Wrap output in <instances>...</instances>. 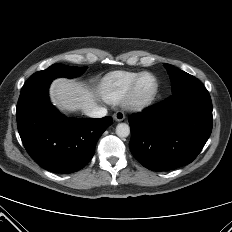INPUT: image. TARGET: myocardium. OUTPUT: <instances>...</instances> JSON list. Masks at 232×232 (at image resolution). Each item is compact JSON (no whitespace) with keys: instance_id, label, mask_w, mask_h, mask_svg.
I'll list each match as a JSON object with an SVG mask.
<instances>
[{"instance_id":"1","label":"myocardium","mask_w":232,"mask_h":232,"mask_svg":"<svg viewBox=\"0 0 232 232\" xmlns=\"http://www.w3.org/2000/svg\"><path fill=\"white\" fill-rule=\"evenodd\" d=\"M144 77L152 80V87L146 94L139 92V85ZM158 92V81L156 77L148 72L141 73L132 84L125 100V106L132 110H140L151 104Z\"/></svg>"}]
</instances>
